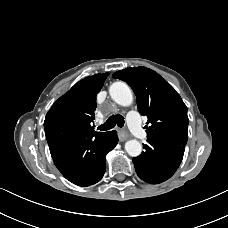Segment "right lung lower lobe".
Segmentation results:
<instances>
[{
	"instance_id": "1",
	"label": "right lung lower lobe",
	"mask_w": 228,
	"mask_h": 228,
	"mask_svg": "<svg viewBox=\"0 0 228 228\" xmlns=\"http://www.w3.org/2000/svg\"><path fill=\"white\" fill-rule=\"evenodd\" d=\"M117 143L116 131H108L77 134L49 148L54 164L67 180L79 186H89L103 177L105 157Z\"/></svg>"
}]
</instances>
